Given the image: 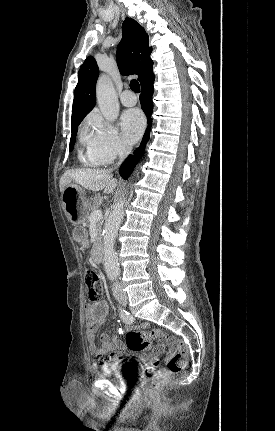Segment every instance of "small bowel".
<instances>
[{
    "label": "small bowel",
    "instance_id": "obj_1",
    "mask_svg": "<svg viewBox=\"0 0 275 431\" xmlns=\"http://www.w3.org/2000/svg\"><path fill=\"white\" fill-rule=\"evenodd\" d=\"M75 240L86 245L87 235L82 229H76L73 233ZM86 313V337L88 341V351L96 356V364L106 367L111 362H118L122 359V352L124 350L123 342L118 336H109L108 334H101L99 337V345L96 340V331L98 327L105 323L108 314V305L105 301H94L85 306ZM139 330L147 328L146 324L137 326ZM160 346L153 350L150 361L157 362V355L161 352ZM142 360H146L142 357Z\"/></svg>",
    "mask_w": 275,
    "mask_h": 431
}]
</instances>
